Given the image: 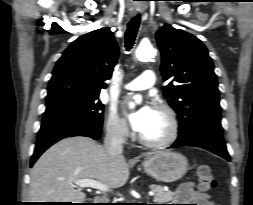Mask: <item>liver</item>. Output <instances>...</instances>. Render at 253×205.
<instances>
[{"mask_svg": "<svg viewBox=\"0 0 253 205\" xmlns=\"http://www.w3.org/2000/svg\"><path fill=\"white\" fill-rule=\"evenodd\" d=\"M150 155V154H148ZM122 155L111 156L88 137L65 138L45 151L31 170L29 196L35 202L82 203L86 194L75 180L96 179L107 187H122L129 178Z\"/></svg>", "mask_w": 253, "mask_h": 205, "instance_id": "6515ba94", "label": "liver"}]
</instances>
